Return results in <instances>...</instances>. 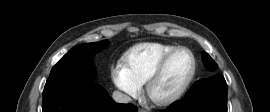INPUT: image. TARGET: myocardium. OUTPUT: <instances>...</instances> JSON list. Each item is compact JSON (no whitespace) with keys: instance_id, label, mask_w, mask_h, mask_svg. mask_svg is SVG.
<instances>
[{"instance_id":"f54148a6","label":"myocardium","mask_w":270,"mask_h":112,"mask_svg":"<svg viewBox=\"0 0 270 112\" xmlns=\"http://www.w3.org/2000/svg\"><path fill=\"white\" fill-rule=\"evenodd\" d=\"M181 51L187 52L191 57L192 67H191V71H190L188 77L186 78L184 83L176 91H174L170 95L163 97V98H159V99L154 98L152 95L153 87L155 86V84L158 82V80L163 75L170 60L177 53H179ZM196 71H197V61H196V58H195V55L193 54V52L187 47H182V46L176 47L172 51L167 53L161 59V61L158 63V65L156 66V68L154 69L152 74L147 79L146 87H145L146 95L156 105L167 106V105L173 104L174 102L178 101L186 93V91L188 90V88L190 87V85L192 84V82L195 78Z\"/></svg>"}]
</instances>
